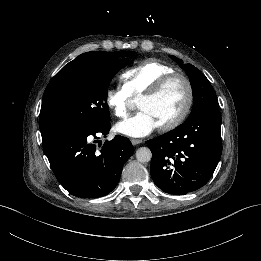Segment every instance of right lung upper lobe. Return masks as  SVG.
<instances>
[{"label": "right lung upper lobe", "instance_id": "cb5924a9", "mask_svg": "<svg viewBox=\"0 0 261 261\" xmlns=\"http://www.w3.org/2000/svg\"><path fill=\"white\" fill-rule=\"evenodd\" d=\"M126 53L127 52H125V51L87 52V53H83V54L79 55L75 60L69 62L64 67L68 66L69 64H71L73 62H76L81 59H86V58H94V59H102V60H115L116 57L125 56ZM51 84H52V82L50 81V83L48 84V86L44 92L43 102H42L40 116H39V125H40L41 132H48V133H51L52 135H54L57 132H59L61 129H60L59 118H58L57 112L52 104Z\"/></svg>", "mask_w": 261, "mask_h": 261}]
</instances>
